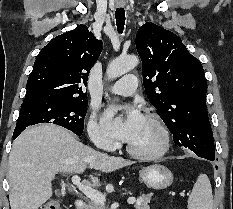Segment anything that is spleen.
Wrapping results in <instances>:
<instances>
[{
  "instance_id": "obj_1",
  "label": "spleen",
  "mask_w": 233,
  "mask_h": 209,
  "mask_svg": "<svg viewBox=\"0 0 233 209\" xmlns=\"http://www.w3.org/2000/svg\"><path fill=\"white\" fill-rule=\"evenodd\" d=\"M188 209H213L211 183L206 174L199 175L188 200Z\"/></svg>"
}]
</instances>
